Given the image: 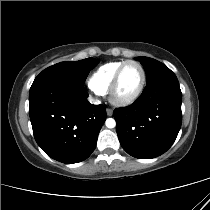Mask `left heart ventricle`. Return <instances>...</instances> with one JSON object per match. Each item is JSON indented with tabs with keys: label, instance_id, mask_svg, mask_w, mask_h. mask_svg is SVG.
<instances>
[{
	"label": "left heart ventricle",
	"instance_id": "1",
	"mask_svg": "<svg viewBox=\"0 0 210 210\" xmlns=\"http://www.w3.org/2000/svg\"><path fill=\"white\" fill-rule=\"evenodd\" d=\"M141 81V72L137 65L128 64L121 73L116 95L120 98L133 94Z\"/></svg>",
	"mask_w": 210,
	"mask_h": 210
}]
</instances>
